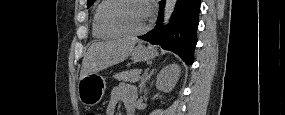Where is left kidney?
<instances>
[{
  "mask_svg": "<svg viewBox=\"0 0 285 115\" xmlns=\"http://www.w3.org/2000/svg\"><path fill=\"white\" fill-rule=\"evenodd\" d=\"M181 68L178 64L173 63L164 67L158 77L156 82V87L164 92H170L175 87L179 76Z\"/></svg>",
  "mask_w": 285,
  "mask_h": 115,
  "instance_id": "5707ae66",
  "label": "left kidney"
}]
</instances>
